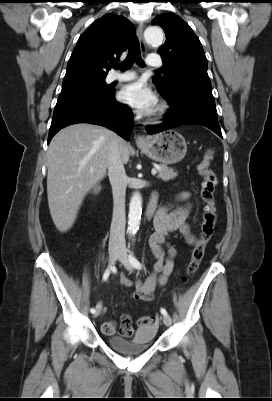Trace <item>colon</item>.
I'll list each match as a JSON object with an SVG mask.
<instances>
[{
    "label": "colon",
    "instance_id": "colon-1",
    "mask_svg": "<svg viewBox=\"0 0 272 401\" xmlns=\"http://www.w3.org/2000/svg\"><path fill=\"white\" fill-rule=\"evenodd\" d=\"M212 160V151L207 150L201 162L198 164V172L202 178L201 199L203 202V215L200 228V237L196 243L191 260L187 267V276L185 281L197 271L201 260L203 259L207 242L211 239L217 222V207L215 201V190L218 184L217 176L210 167ZM139 325H150L153 318L149 316L141 317L138 320Z\"/></svg>",
    "mask_w": 272,
    "mask_h": 401
}]
</instances>
